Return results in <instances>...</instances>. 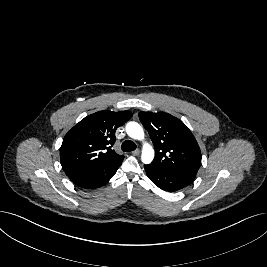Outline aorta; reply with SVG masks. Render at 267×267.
Segmentation results:
<instances>
[{
	"label": "aorta",
	"instance_id": "obj_1",
	"mask_svg": "<svg viewBox=\"0 0 267 267\" xmlns=\"http://www.w3.org/2000/svg\"><path fill=\"white\" fill-rule=\"evenodd\" d=\"M126 133L133 139L143 140L144 131L143 128L136 122H129L126 125ZM154 159L153 147L145 143L142 148L141 160L144 164H150Z\"/></svg>",
	"mask_w": 267,
	"mask_h": 267
}]
</instances>
